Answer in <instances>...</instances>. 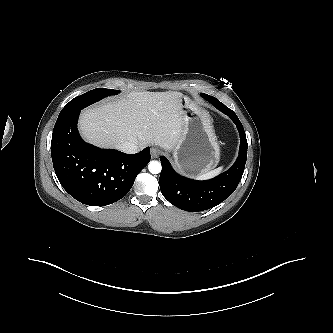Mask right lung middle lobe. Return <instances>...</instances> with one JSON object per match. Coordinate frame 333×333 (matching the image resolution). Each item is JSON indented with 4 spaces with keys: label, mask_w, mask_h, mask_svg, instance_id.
I'll return each mask as SVG.
<instances>
[{
    "label": "right lung middle lobe",
    "mask_w": 333,
    "mask_h": 333,
    "mask_svg": "<svg viewBox=\"0 0 333 333\" xmlns=\"http://www.w3.org/2000/svg\"><path fill=\"white\" fill-rule=\"evenodd\" d=\"M118 93L119 91L114 89L96 88L72 99L62 111H81L86 106L93 104L106 96L116 95Z\"/></svg>",
    "instance_id": "right-lung-middle-lobe-1"
}]
</instances>
